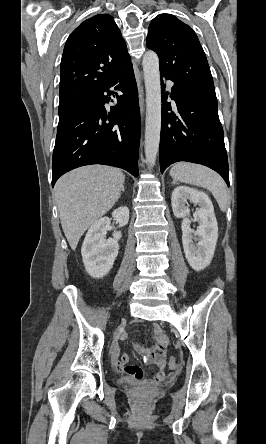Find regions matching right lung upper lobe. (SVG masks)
I'll use <instances>...</instances> for the list:
<instances>
[{
	"mask_svg": "<svg viewBox=\"0 0 266 444\" xmlns=\"http://www.w3.org/2000/svg\"><path fill=\"white\" fill-rule=\"evenodd\" d=\"M131 62L112 16L95 15L68 37L60 65V99L91 95Z\"/></svg>",
	"mask_w": 266,
	"mask_h": 444,
	"instance_id": "obj_1",
	"label": "right lung upper lobe"
}]
</instances>
